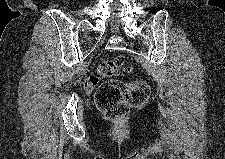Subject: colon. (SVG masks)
Listing matches in <instances>:
<instances>
[{"mask_svg": "<svg viewBox=\"0 0 225 159\" xmlns=\"http://www.w3.org/2000/svg\"><path fill=\"white\" fill-rule=\"evenodd\" d=\"M131 69L125 66V60L117 56L102 61L98 68L95 80L98 77L110 78L118 74L130 73ZM150 95L149 85L142 80L123 82L111 79L103 82L95 92V103L100 112L109 120L126 118L131 109L143 106Z\"/></svg>", "mask_w": 225, "mask_h": 159, "instance_id": "1", "label": "colon"}]
</instances>
